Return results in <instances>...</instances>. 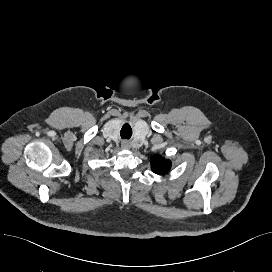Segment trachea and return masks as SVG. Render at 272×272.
Wrapping results in <instances>:
<instances>
[{"label": "trachea", "instance_id": "1", "mask_svg": "<svg viewBox=\"0 0 272 272\" xmlns=\"http://www.w3.org/2000/svg\"><path fill=\"white\" fill-rule=\"evenodd\" d=\"M120 135L122 139H130L132 136V129L129 124H124L121 128Z\"/></svg>", "mask_w": 272, "mask_h": 272}]
</instances>
